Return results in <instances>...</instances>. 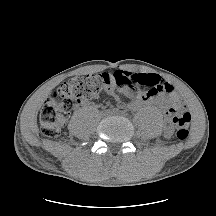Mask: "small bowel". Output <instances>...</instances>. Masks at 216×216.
<instances>
[{
	"instance_id": "c3829d8e",
	"label": "small bowel",
	"mask_w": 216,
	"mask_h": 216,
	"mask_svg": "<svg viewBox=\"0 0 216 216\" xmlns=\"http://www.w3.org/2000/svg\"><path fill=\"white\" fill-rule=\"evenodd\" d=\"M126 73L131 76L132 82L128 83L127 86L114 85L108 91L109 94L115 97L119 106L124 105L119 95L134 100L137 105L154 103L165 111H169L172 107L181 104V99L174 92L173 87L159 75L153 73ZM138 86H146L148 90L145 92L137 91ZM164 132L165 136L169 137L172 134V126L167 124Z\"/></svg>"
}]
</instances>
